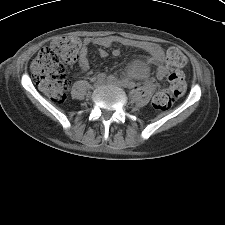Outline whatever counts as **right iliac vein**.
Here are the masks:
<instances>
[{"label":"right iliac vein","instance_id":"right-iliac-vein-1","mask_svg":"<svg viewBox=\"0 0 225 225\" xmlns=\"http://www.w3.org/2000/svg\"><path fill=\"white\" fill-rule=\"evenodd\" d=\"M102 84H103V81L97 80V81L94 83V87H95V88H98V87H100Z\"/></svg>","mask_w":225,"mask_h":225}]
</instances>
